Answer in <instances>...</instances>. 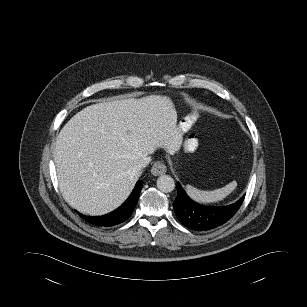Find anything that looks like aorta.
Segmentation results:
<instances>
[{"label":"aorta","mask_w":307,"mask_h":307,"mask_svg":"<svg viewBox=\"0 0 307 307\" xmlns=\"http://www.w3.org/2000/svg\"><path fill=\"white\" fill-rule=\"evenodd\" d=\"M157 188L164 193L173 191L175 188L174 179L169 175H161L157 179Z\"/></svg>","instance_id":"obj_1"}]
</instances>
